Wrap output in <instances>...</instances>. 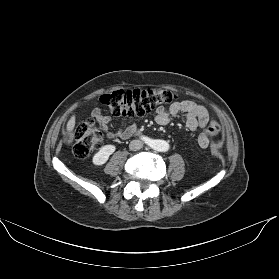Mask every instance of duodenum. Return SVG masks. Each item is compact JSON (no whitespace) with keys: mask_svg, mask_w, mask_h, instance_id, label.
<instances>
[{"mask_svg":"<svg viewBox=\"0 0 279 279\" xmlns=\"http://www.w3.org/2000/svg\"><path fill=\"white\" fill-rule=\"evenodd\" d=\"M137 132L136 129H131L127 132L128 135H132V134H135Z\"/></svg>","mask_w":279,"mask_h":279,"instance_id":"duodenum-1","label":"duodenum"}]
</instances>
